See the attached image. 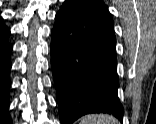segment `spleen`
I'll return each mask as SVG.
<instances>
[{
	"mask_svg": "<svg viewBox=\"0 0 156 124\" xmlns=\"http://www.w3.org/2000/svg\"><path fill=\"white\" fill-rule=\"evenodd\" d=\"M80 124H119V122L111 115L92 114L84 116Z\"/></svg>",
	"mask_w": 156,
	"mask_h": 124,
	"instance_id": "obj_1",
	"label": "spleen"
}]
</instances>
